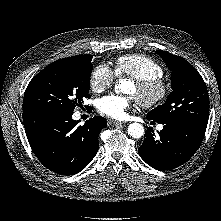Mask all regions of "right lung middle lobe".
I'll return each mask as SVG.
<instances>
[{"instance_id":"right-lung-middle-lobe-1","label":"right lung middle lobe","mask_w":221,"mask_h":221,"mask_svg":"<svg viewBox=\"0 0 221 221\" xmlns=\"http://www.w3.org/2000/svg\"><path fill=\"white\" fill-rule=\"evenodd\" d=\"M92 55L57 60L40 71L28 84L23 111L35 109L73 113L83 99L90 98Z\"/></svg>"}]
</instances>
